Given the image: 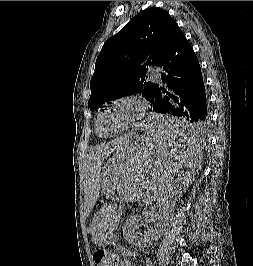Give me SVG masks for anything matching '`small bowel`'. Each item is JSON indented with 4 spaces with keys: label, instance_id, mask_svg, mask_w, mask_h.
<instances>
[{
    "label": "small bowel",
    "instance_id": "1",
    "mask_svg": "<svg viewBox=\"0 0 253 266\" xmlns=\"http://www.w3.org/2000/svg\"><path fill=\"white\" fill-rule=\"evenodd\" d=\"M118 252L121 254V256H123L119 263V266H132L129 257L133 256L134 253L125 247H118ZM144 266H154L152 259H146L144 262Z\"/></svg>",
    "mask_w": 253,
    "mask_h": 266
}]
</instances>
